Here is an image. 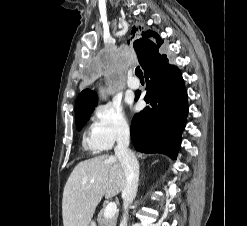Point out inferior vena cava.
Returning <instances> with one entry per match:
<instances>
[{
  "mask_svg": "<svg viewBox=\"0 0 247 226\" xmlns=\"http://www.w3.org/2000/svg\"><path fill=\"white\" fill-rule=\"evenodd\" d=\"M130 130L127 125L119 128L117 132V145L115 157L120 161L125 173V186L122 191L124 198V215L120 226H127L128 207L133 202L138 189L139 164L134 153L129 149Z\"/></svg>",
  "mask_w": 247,
  "mask_h": 226,
  "instance_id": "obj_1",
  "label": "inferior vena cava"
}]
</instances>
